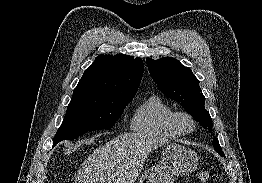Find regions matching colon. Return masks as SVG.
<instances>
[{
	"instance_id": "5ec220e1",
	"label": "colon",
	"mask_w": 262,
	"mask_h": 183,
	"mask_svg": "<svg viewBox=\"0 0 262 183\" xmlns=\"http://www.w3.org/2000/svg\"><path fill=\"white\" fill-rule=\"evenodd\" d=\"M196 178L200 183H208L211 178V173L209 170H199L196 173Z\"/></svg>"
}]
</instances>
